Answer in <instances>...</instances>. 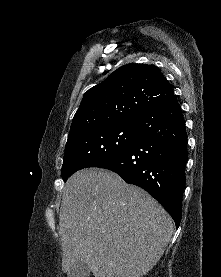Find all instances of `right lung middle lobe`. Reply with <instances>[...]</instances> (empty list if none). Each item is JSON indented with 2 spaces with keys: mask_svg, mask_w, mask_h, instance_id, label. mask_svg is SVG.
Wrapping results in <instances>:
<instances>
[{
  "mask_svg": "<svg viewBox=\"0 0 221 277\" xmlns=\"http://www.w3.org/2000/svg\"><path fill=\"white\" fill-rule=\"evenodd\" d=\"M136 134V122L93 127L68 138L61 175L64 181L76 171L97 167L126 152Z\"/></svg>",
  "mask_w": 221,
  "mask_h": 277,
  "instance_id": "dd1d6c3e",
  "label": "right lung middle lobe"
}]
</instances>
